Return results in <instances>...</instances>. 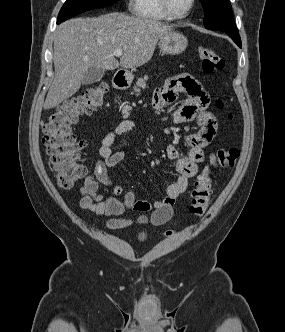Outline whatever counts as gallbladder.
I'll return each instance as SVG.
<instances>
[{"label":"gallbladder","instance_id":"gallbladder-1","mask_svg":"<svg viewBox=\"0 0 285 332\" xmlns=\"http://www.w3.org/2000/svg\"><path fill=\"white\" fill-rule=\"evenodd\" d=\"M104 76V69L97 67H90L82 78L83 85H89L99 82Z\"/></svg>","mask_w":285,"mask_h":332}]
</instances>
